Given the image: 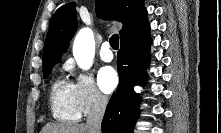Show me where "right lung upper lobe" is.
I'll return each instance as SVG.
<instances>
[{
  "label": "right lung upper lobe",
  "mask_w": 221,
  "mask_h": 133,
  "mask_svg": "<svg viewBox=\"0 0 221 133\" xmlns=\"http://www.w3.org/2000/svg\"><path fill=\"white\" fill-rule=\"evenodd\" d=\"M144 0H96V10L104 19H114L123 24L120 30L121 40L149 30L147 11ZM110 7L112 18L107 14ZM77 27L75 4L69 3L60 7L51 20L46 36L43 66L58 63L67 49Z\"/></svg>",
  "instance_id": "cb5924a9"
}]
</instances>
